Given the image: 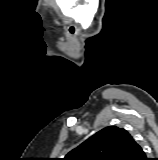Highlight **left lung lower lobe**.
I'll use <instances>...</instances> for the list:
<instances>
[{
    "label": "left lung lower lobe",
    "mask_w": 158,
    "mask_h": 160,
    "mask_svg": "<svg viewBox=\"0 0 158 160\" xmlns=\"http://www.w3.org/2000/svg\"><path fill=\"white\" fill-rule=\"evenodd\" d=\"M129 160H147L145 153L139 144L136 143L134 146Z\"/></svg>",
    "instance_id": "left-lung-lower-lobe-1"
}]
</instances>
